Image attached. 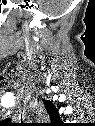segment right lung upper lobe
Masks as SVG:
<instances>
[{"label": "right lung upper lobe", "instance_id": "obj_1", "mask_svg": "<svg viewBox=\"0 0 95 126\" xmlns=\"http://www.w3.org/2000/svg\"><path fill=\"white\" fill-rule=\"evenodd\" d=\"M44 105L47 110V113L49 114L51 121L54 122L51 124L53 125L61 124L59 120V113L58 110H56L55 106L48 100H44Z\"/></svg>", "mask_w": 95, "mask_h": 126}]
</instances>
